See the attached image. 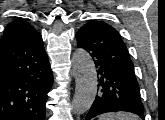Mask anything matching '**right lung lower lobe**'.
I'll return each instance as SVG.
<instances>
[{"label":"right lung lower lobe","mask_w":165,"mask_h":120,"mask_svg":"<svg viewBox=\"0 0 165 120\" xmlns=\"http://www.w3.org/2000/svg\"><path fill=\"white\" fill-rule=\"evenodd\" d=\"M52 83L39 32L0 47V120H45Z\"/></svg>","instance_id":"98d812e1"}]
</instances>
